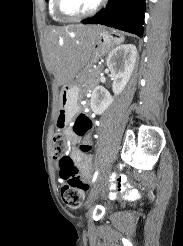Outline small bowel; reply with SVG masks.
Returning a JSON list of instances; mask_svg holds the SVG:
<instances>
[{
  "label": "small bowel",
  "mask_w": 183,
  "mask_h": 246,
  "mask_svg": "<svg viewBox=\"0 0 183 246\" xmlns=\"http://www.w3.org/2000/svg\"><path fill=\"white\" fill-rule=\"evenodd\" d=\"M70 143L75 144L80 139H82L83 143H87L88 147H91L92 139L88 137H80L75 134L73 130L67 129L65 132ZM74 163L80 169L81 173L84 176H88L91 172L92 168V157H87V155H83V152H79L78 148H74L71 155ZM127 174H118L117 178H108L109 191H116L117 193H107V198H119V193H128V189H134V184H127V188H125L123 183H127ZM131 196L136 195V192H131Z\"/></svg>",
  "instance_id": "1"
}]
</instances>
